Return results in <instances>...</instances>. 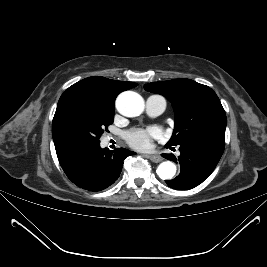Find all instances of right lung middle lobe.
<instances>
[{"label":"right lung middle lobe","instance_id":"dd1d6c3e","mask_svg":"<svg viewBox=\"0 0 267 267\" xmlns=\"http://www.w3.org/2000/svg\"><path fill=\"white\" fill-rule=\"evenodd\" d=\"M114 104L90 90L62 95L52 122L56 152L89 144H99L100 136L113 123Z\"/></svg>","mask_w":267,"mask_h":267}]
</instances>
